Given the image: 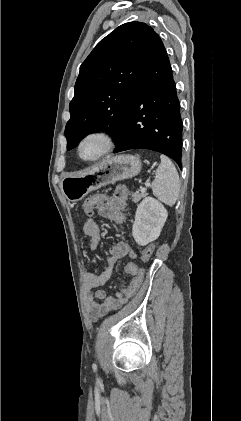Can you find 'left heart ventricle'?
Returning <instances> with one entry per match:
<instances>
[{
  "instance_id": "obj_1",
  "label": "left heart ventricle",
  "mask_w": 241,
  "mask_h": 421,
  "mask_svg": "<svg viewBox=\"0 0 241 421\" xmlns=\"http://www.w3.org/2000/svg\"><path fill=\"white\" fill-rule=\"evenodd\" d=\"M102 147V143L99 139L92 138L87 140L83 147H82V153L84 156H93L97 154Z\"/></svg>"
}]
</instances>
